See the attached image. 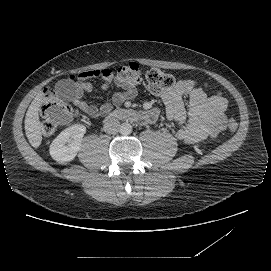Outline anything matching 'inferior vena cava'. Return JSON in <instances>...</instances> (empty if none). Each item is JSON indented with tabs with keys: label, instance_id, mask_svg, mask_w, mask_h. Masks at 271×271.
Instances as JSON below:
<instances>
[{
	"label": "inferior vena cava",
	"instance_id": "obj_1",
	"mask_svg": "<svg viewBox=\"0 0 271 271\" xmlns=\"http://www.w3.org/2000/svg\"><path fill=\"white\" fill-rule=\"evenodd\" d=\"M103 129L107 134H115L120 129V122L114 117H106L104 120Z\"/></svg>",
	"mask_w": 271,
	"mask_h": 271
}]
</instances>
